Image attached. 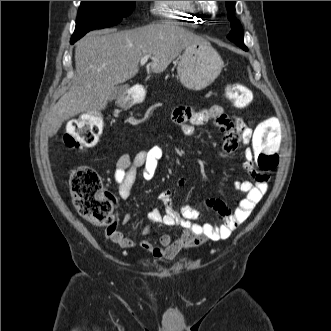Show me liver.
Segmentation results:
<instances>
[{"label": "liver", "instance_id": "liver-1", "mask_svg": "<svg viewBox=\"0 0 331 331\" xmlns=\"http://www.w3.org/2000/svg\"><path fill=\"white\" fill-rule=\"evenodd\" d=\"M205 41L172 22L131 30L93 31L76 43V74L67 93L45 117V133L53 137L75 115L104 110L112 89L133 78L142 57L149 55L152 72L161 73L190 44Z\"/></svg>", "mask_w": 331, "mask_h": 331}]
</instances>
